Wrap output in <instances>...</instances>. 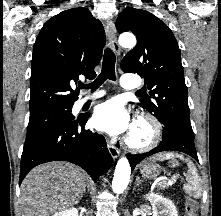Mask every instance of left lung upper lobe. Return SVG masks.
Listing matches in <instances>:
<instances>
[{
    "label": "left lung upper lobe",
    "mask_w": 221,
    "mask_h": 216,
    "mask_svg": "<svg viewBox=\"0 0 221 216\" xmlns=\"http://www.w3.org/2000/svg\"><path fill=\"white\" fill-rule=\"evenodd\" d=\"M116 28L137 36V45L123 58L121 68L145 78L150 96L140 99L139 105L162 123L164 132L194 137L180 49L172 31L155 15L132 7L119 14Z\"/></svg>",
    "instance_id": "left-lung-upper-lobe-1"
}]
</instances>
